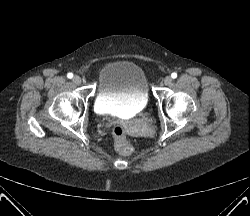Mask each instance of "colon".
Wrapping results in <instances>:
<instances>
[{"label":"colon","instance_id":"5ec220e1","mask_svg":"<svg viewBox=\"0 0 250 216\" xmlns=\"http://www.w3.org/2000/svg\"><path fill=\"white\" fill-rule=\"evenodd\" d=\"M113 137L116 149L123 154H130L133 151L132 144L128 141L125 129L117 124L113 128Z\"/></svg>","mask_w":250,"mask_h":216}]
</instances>
